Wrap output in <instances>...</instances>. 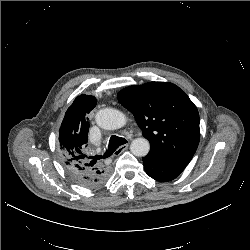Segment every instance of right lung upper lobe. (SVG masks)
<instances>
[{"label":"right lung upper lobe","instance_id":"obj_1","mask_svg":"<svg viewBox=\"0 0 250 250\" xmlns=\"http://www.w3.org/2000/svg\"><path fill=\"white\" fill-rule=\"evenodd\" d=\"M96 103L95 97L82 94L74 100L65 113L59 130V147L66 169L88 170L96 174L103 173L102 171L110 172L109 165L100 160V156L86 158L84 154L89 131L87 114L96 106Z\"/></svg>","mask_w":250,"mask_h":250}]
</instances>
